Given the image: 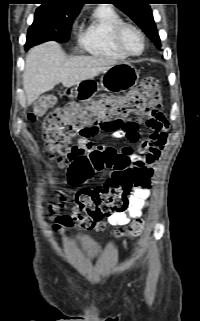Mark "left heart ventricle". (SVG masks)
I'll return each mask as SVG.
<instances>
[{"instance_id":"b2bd125f","label":"left heart ventricle","mask_w":200,"mask_h":321,"mask_svg":"<svg viewBox=\"0 0 200 321\" xmlns=\"http://www.w3.org/2000/svg\"><path fill=\"white\" fill-rule=\"evenodd\" d=\"M125 48L131 53H138L142 49L140 36L133 29H126L123 38Z\"/></svg>"}]
</instances>
